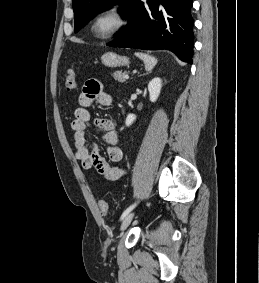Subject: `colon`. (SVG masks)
<instances>
[{
  "mask_svg": "<svg viewBox=\"0 0 259 283\" xmlns=\"http://www.w3.org/2000/svg\"><path fill=\"white\" fill-rule=\"evenodd\" d=\"M65 88L68 91H74L77 87V76L73 69H69L65 74ZM99 210L101 213L106 214L108 212V204L105 200L99 202Z\"/></svg>",
  "mask_w": 259,
  "mask_h": 283,
  "instance_id": "obj_1",
  "label": "colon"
}]
</instances>
